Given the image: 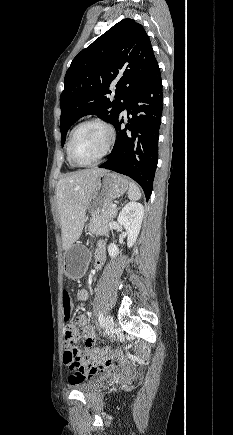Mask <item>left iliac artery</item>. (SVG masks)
<instances>
[{"label": "left iliac artery", "mask_w": 233, "mask_h": 435, "mask_svg": "<svg viewBox=\"0 0 233 435\" xmlns=\"http://www.w3.org/2000/svg\"><path fill=\"white\" fill-rule=\"evenodd\" d=\"M98 321H99V323H100V326H101V327H104V322H105V320H104V316H103V312H102V311H99V314H98Z\"/></svg>", "instance_id": "1"}]
</instances>
